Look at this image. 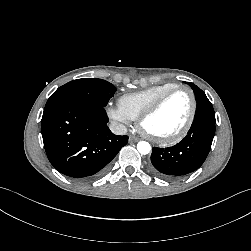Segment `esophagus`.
I'll return each instance as SVG.
<instances>
[{"label": "esophagus", "instance_id": "1", "mask_svg": "<svg viewBox=\"0 0 251 251\" xmlns=\"http://www.w3.org/2000/svg\"><path fill=\"white\" fill-rule=\"evenodd\" d=\"M140 139L138 138V137H136V136H133V135H130L129 136V141L130 142H137V141H139Z\"/></svg>", "mask_w": 251, "mask_h": 251}]
</instances>
